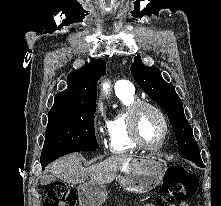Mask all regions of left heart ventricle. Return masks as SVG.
<instances>
[{
	"label": "left heart ventricle",
	"instance_id": "left-heart-ventricle-1",
	"mask_svg": "<svg viewBox=\"0 0 221 206\" xmlns=\"http://www.w3.org/2000/svg\"><path fill=\"white\" fill-rule=\"evenodd\" d=\"M138 128L141 138L146 144L156 145L162 140L164 132L162 121L151 109L140 110Z\"/></svg>",
	"mask_w": 221,
	"mask_h": 206
}]
</instances>
